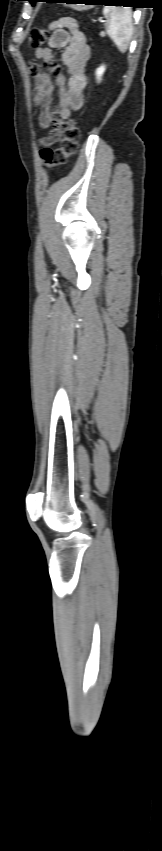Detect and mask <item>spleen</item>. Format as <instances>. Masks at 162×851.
I'll return each instance as SVG.
<instances>
[{"label": "spleen", "mask_w": 162, "mask_h": 851, "mask_svg": "<svg viewBox=\"0 0 162 851\" xmlns=\"http://www.w3.org/2000/svg\"><path fill=\"white\" fill-rule=\"evenodd\" d=\"M103 14L107 18L106 30L121 53H125L133 32L132 12L130 8L104 7Z\"/></svg>", "instance_id": "obj_1"}]
</instances>
